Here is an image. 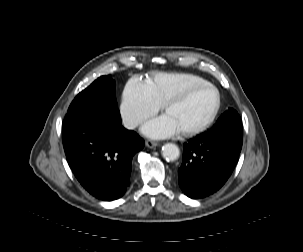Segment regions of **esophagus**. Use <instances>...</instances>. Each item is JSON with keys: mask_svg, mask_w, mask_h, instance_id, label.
Listing matches in <instances>:
<instances>
[{"mask_svg": "<svg viewBox=\"0 0 303 252\" xmlns=\"http://www.w3.org/2000/svg\"><path fill=\"white\" fill-rule=\"evenodd\" d=\"M145 145L148 148H155V147L159 146V143L155 142V141H152V140H146Z\"/></svg>", "mask_w": 303, "mask_h": 252, "instance_id": "esophagus-1", "label": "esophagus"}]
</instances>
